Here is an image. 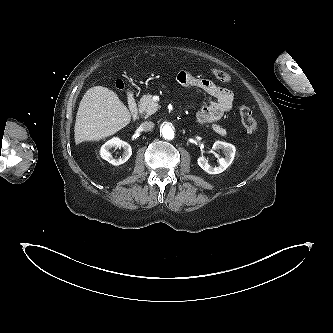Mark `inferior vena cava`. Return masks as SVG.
I'll return each mask as SVG.
<instances>
[{"label": "inferior vena cava", "instance_id": "1", "mask_svg": "<svg viewBox=\"0 0 333 333\" xmlns=\"http://www.w3.org/2000/svg\"><path fill=\"white\" fill-rule=\"evenodd\" d=\"M153 127H154V123L151 121H145L141 124V128L144 131H150L151 129H153Z\"/></svg>", "mask_w": 333, "mask_h": 333}]
</instances>
